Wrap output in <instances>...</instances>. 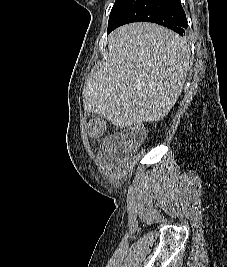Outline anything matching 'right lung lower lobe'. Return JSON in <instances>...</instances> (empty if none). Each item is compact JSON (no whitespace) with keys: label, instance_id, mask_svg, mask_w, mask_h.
Masks as SVG:
<instances>
[{"label":"right lung lower lobe","instance_id":"98d812e1","mask_svg":"<svg viewBox=\"0 0 227 267\" xmlns=\"http://www.w3.org/2000/svg\"><path fill=\"white\" fill-rule=\"evenodd\" d=\"M147 21L167 27L179 35L185 34L187 20L180 0H127L111 23L108 33L131 23Z\"/></svg>","mask_w":227,"mask_h":267}]
</instances>
